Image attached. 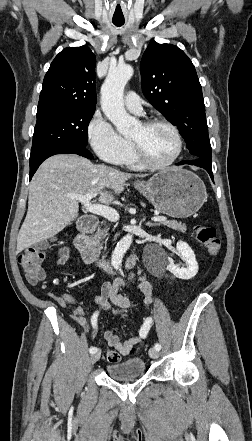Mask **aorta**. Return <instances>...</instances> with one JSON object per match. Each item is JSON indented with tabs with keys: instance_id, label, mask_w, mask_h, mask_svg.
<instances>
[{
	"instance_id": "aorta-1",
	"label": "aorta",
	"mask_w": 252,
	"mask_h": 441,
	"mask_svg": "<svg viewBox=\"0 0 252 441\" xmlns=\"http://www.w3.org/2000/svg\"><path fill=\"white\" fill-rule=\"evenodd\" d=\"M131 65L123 64L109 70L101 87V107L107 118L115 125L117 131L128 137L131 135L137 120L127 114L124 108V87L133 75ZM132 243V235L124 236L115 247L111 264L121 270L123 257Z\"/></svg>"
}]
</instances>
